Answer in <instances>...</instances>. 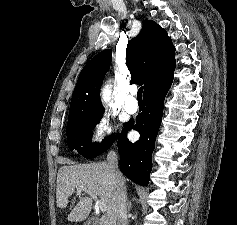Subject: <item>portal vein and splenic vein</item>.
Returning a JSON list of instances; mask_svg holds the SVG:
<instances>
[{
  "mask_svg": "<svg viewBox=\"0 0 237 225\" xmlns=\"http://www.w3.org/2000/svg\"><path fill=\"white\" fill-rule=\"evenodd\" d=\"M77 191H78V192L84 191V192H86L87 194H89V195L91 196V198H93V199L95 200L96 206H97L102 212H105V211L107 210L106 205H105L102 201L98 200L97 195L94 194L93 192H91L90 190L85 189V188H83V187H79V188H77Z\"/></svg>",
  "mask_w": 237,
  "mask_h": 225,
  "instance_id": "1",
  "label": "portal vein and splenic vein"
}]
</instances>
